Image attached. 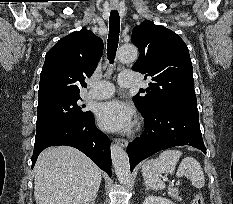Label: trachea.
<instances>
[{
	"label": "trachea",
	"instance_id": "obj_1",
	"mask_svg": "<svg viewBox=\"0 0 233 204\" xmlns=\"http://www.w3.org/2000/svg\"><path fill=\"white\" fill-rule=\"evenodd\" d=\"M119 32H120V18L118 11L114 10L110 13L109 18V35H108V44H107V56L110 60V63L114 62L118 41H119Z\"/></svg>",
	"mask_w": 233,
	"mask_h": 204
}]
</instances>
